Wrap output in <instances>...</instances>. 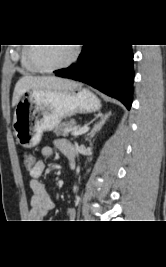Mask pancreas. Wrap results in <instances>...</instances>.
I'll return each mask as SVG.
<instances>
[{"label": "pancreas", "instance_id": "1", "mask_svg": "<svg viewBox=\"0 0 166 267\" xmlns=\"http://www.w3.org/2000/svg\"><path fill=\"white\" fill-rule=\"evenodd\" d=\"M76 126L74 120H70L64 123H61L55 130L57 136H68L69 131Z\"/></svg>", "mask_w": 166, "mask_h": 267}]
</instances>
